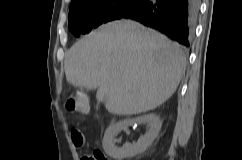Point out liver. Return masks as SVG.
<instances>
[{
	"mask_svg": "<svg viewBox=\"0 0 242 160\" xmlns=\"http://www.w3.org/2000/svg\"><path fill=\"white\" fill-rule=\"evenodd\" d=\"M184 48L132 20L102 25L68 51L64 69L74 87L97 89L96 99L116 115L157 108L185 72Z\"/></svg>",
	"mask_w": 242,
	"mask_h": 160,
	"instance_id": "obj_1",
	"label": "liver"
}]
</instances>
